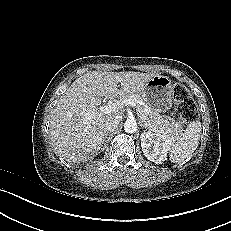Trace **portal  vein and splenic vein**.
I'll use <instances>...</instances> for the list:
<instances>
[{"label":"portal vein and splenic vein","instance_id":"portal-vein-and-splenic-vein-1","mask_svg":"<svg viewBox=\"0 0 231 231\" xmlns=\"http://www.w3.org/2000/svg\"><path fill=\"white\" fill-rule=\"evenodd\" d=\"M131 106V107H135L136 104L134 101L130 100V99H123L117 103H109L107 105L101 106L100 112L104 113V114H111V113H116L118 112L123 106ZM92 115H89V117H91Z\"/></svg>","mask_w":231,"mask_h":231}]
</instances>
